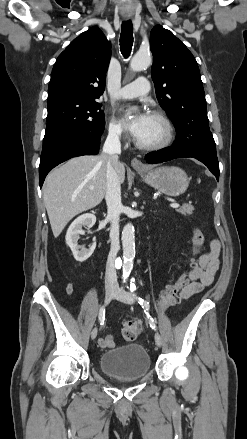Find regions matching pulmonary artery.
Listing matches in <instances>:
<instances>
[{
	"label": "pulmonary artery",
	"mask_w": 247,
	"mask_h": 439,
	"mask_svg": "<svg viewBox=\"0 0 247 439\" xmlns=\"http://www.w3.org/2000/svg\"><path fill=\"white\" fill-rule=\"evenodd\" d=\"M149 81L140 77L134 82L125 85L117 93V97L120 99H132L146 95L149 92Z\"/></svg>",
	"instance_id": "1"
}]
</instances>
